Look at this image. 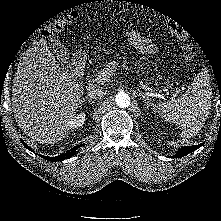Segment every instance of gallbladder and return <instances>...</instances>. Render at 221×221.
<instances>
[{"label":"gallbladder","mask_w":221,"mask_h":221,"mask_svg":"<svg viewBox=\"0 0 221 221\" xmlns=\"http://www.w3.org/2000/svg\"><path fill=\"white\" fill-rule=\"evenodd\" d=\"M49 44L50 48L56 54L57 58L62 61V65L71 68L69 52L67 48L59 40L56 39H52Z\"/></svg>","instance_id":"gallbladder-1"}]
</instances>
